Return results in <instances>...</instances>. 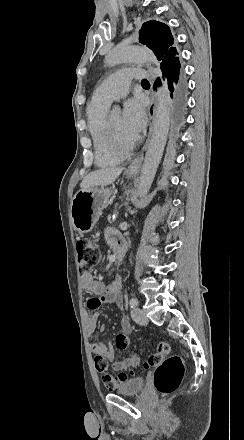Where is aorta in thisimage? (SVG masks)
I'll return each mask as SVG.
<instances>
[{
	"label": "aorta",
	"mask_w": 244,
	"mask_h": 440,
	"mask_svg": "<svg viewBox=\"0 0 244 440\" xmlns=\"http://www.w3.org/2000/svg\"><path fill=\"white\" fill-rule=\"evenodd\" d=\"M133 61L139 63L155 62L154 54L141 47H116L106 56V64L114 66L118 63ZM157 89L156 113L153 130L142 166L138 196L146 195L152 185L157 168L167 141L170 124V96L166 84Z\"/></svg>",
	"instance_id": "1"
}]
</instances>
